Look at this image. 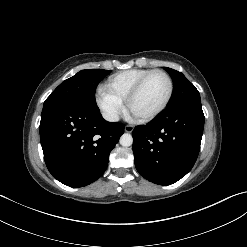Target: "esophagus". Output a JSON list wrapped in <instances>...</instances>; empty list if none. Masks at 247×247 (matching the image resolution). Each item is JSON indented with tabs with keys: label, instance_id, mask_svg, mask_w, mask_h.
<instances>
[{
	"label": "esophagus",
	"instance_id": "1",
	"mask_svg": "<svg viewBox=\"0 0 247 247\" xmlns=\"http://www.w3.org/2000/svg\"><path fill=\"white\" fill-rule=\"evenodd\" d=\"M133 129L134 128L131 125H126L124 128L125 132H127V133H131L133 131Z\"/></svg>",
	"mask_w": 247,
	"mask_h": 247
}]
</instances>
